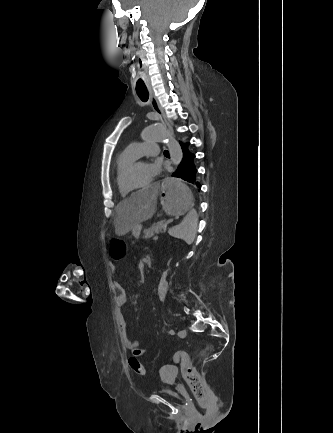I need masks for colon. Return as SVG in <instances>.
<instances>
[{
    "instance_id": "obj_1",
    "label": "colon",
    "mask_w": 333,
    "mask_h": 433,
    "mask_svg": "<svg viewBox=\"0 0 333 433\" xmlns=\"http://www.w3.org/2000/svg\"><path fill=\"white\" fill-rule=\"evenodd\" d=\"M126 241L127 240L125 236H114L113 240L109 241L110 258H123L124 253L128 252V245L126 244ZM167 274V271L164 270L159 276V285L156 287L157 299L163 298V287L167 284ZM172 361L177 362V364L180 366L181 373L187 382L195 400L200 405H206L210 398V388L204 374L195 367L190 355L185 351H177L173 354ZM129 365L132 370L139 375H144L146 373L144 365L136 358L131 357L129 359Z\"/></svg>"
}]
</instances>
